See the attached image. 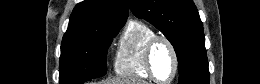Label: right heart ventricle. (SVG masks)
<instances>
[{
    "label": "right heart ventricle",
    "mask_w": 260,
    "mask_h": 84,
    "mask_svg": "<svg viewBox=\"0 0 260 84\" xmlns=\"http://www.w3.org/2000/svg\"><path fill=\"white\" fill-rule=\"evenodd\" d=\"M155 35L146 23L130 20L119 41L114 56L117 75L134 79H151L145 67V51L148 41Z\"/></svg>",
    "instance_id": "obj_1"
}]
</instances>
